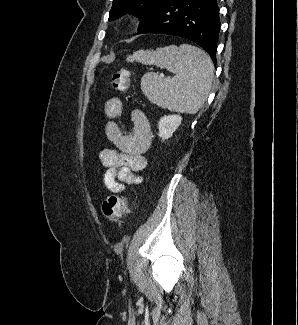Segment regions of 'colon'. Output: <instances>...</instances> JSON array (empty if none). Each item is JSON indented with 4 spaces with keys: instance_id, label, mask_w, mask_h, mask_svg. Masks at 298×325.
Segmentation results:
<instances>
[{
    "instance_id": "1",
    "label": "colon",
    "mask_w": 298,
    "mask_h": 325,
    "mask_svg": "<svg viewBox=\"0 0 298 325\" xmlns=\"http://www.w3.org/2000/svg\"><path fill=\"white\" fill-rule=\"evenodd\" d=\"M129 82L130 71L128 67H120L113 73L111 78V85L117 91H126L129 87ZM128 211V200L123 196L111 195L102 203V213L112 223H119Z\"/></svg>"
}]
</instances>
